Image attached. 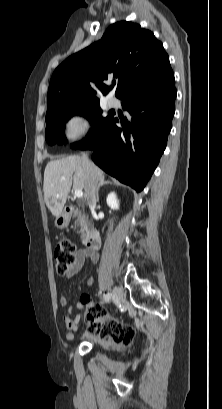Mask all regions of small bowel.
<instances>
[{
    "mask_svg": "<svg viewBox=\"0 0 222 409\" xmlns=\"http://www.w3.org/2000/svg\"><path fill=\"white\" fill-rule=\"evenodd\" d=\"M89 259L91 262L96 263L98 261V254L94 251H88L86 249H80L76 253L75 260L70 266L69 270L65 274V279H70L74 274H76L82 267L84 260ZM89 283H92V279L89 280ZM69 304L68 298L66 296H61L60 298V305L62 307H67ZM77 309L80 310V313L77 314L75 317H72L69 313L63 315V322L66 326L67 331L65 332V338L67 340H72L74 337V332L77 331L79 322L81 320L82 312L85 309V305L83 303H78L76 305ZM104 347H114V348H122L123 344L116 343L113 339H107L102 342ZM128 345V344H127Z\"/></svg>",
    "mask_w": 222,
    "mask_h": 409,
    "instance_id": "1",
    "label": "small bowel"
}]
</instances>
